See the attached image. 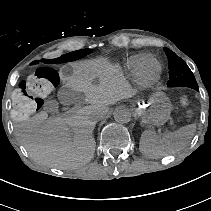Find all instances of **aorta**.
I'll use <instances>...</instances> for the list:
<instances>
[{
    "mask_svg": "<svg viewBox=\"0 0 211 211\" xmlns=\"http://www.w3.org/2000/svg\"><path fill=\"white\" fill-rule=\"evenodd\" d=\"M113 117L116 122L124 124L131 121L132 114L128 108L119 106L114 110Z\"/></svg>",
    "mask_w": 211,
    "mask_h": 211,
    "instance_id": "762f6f07",
    "label": "aorta"
}]
</instances>
